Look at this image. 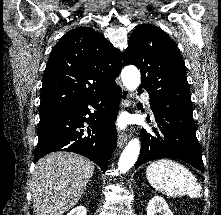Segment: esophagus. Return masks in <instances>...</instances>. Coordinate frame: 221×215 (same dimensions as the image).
Instances as JSON below:
<instances>
[{"label":"esophagus","mask_w":221,"mask_h":215,"mask_svg":"<svg viewBox=\"0 0 221 215\" xmlns=\"http://www.w3.org/2000/svg\"><path fill=\"white\" fill-rule=\"evenodd\" d=\"M130 103V92L123 88L122 89V97H121V108H125ZM129 135L128 132L125 131H119L118 132V146L119 148H122L128 141Z\"/></svg>","instance_id":"esophagus-1"}]
</instances>
